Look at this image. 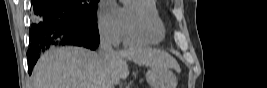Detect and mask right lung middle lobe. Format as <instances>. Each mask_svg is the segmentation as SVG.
I'll return each instance as SVG.
<instances>
[{"label":"right lung middle lobe","mask_w":267,"mask_h":88,"mask_svg":"<svg viewBox=\"0 0 267 88\" xmlns=\"http://www.w3.org/2000/svg\"><path fill=\"white\" fill-rule=\"evenodd\" d=\"M82 18L97 22V3L99 0H57Z\"/></svg>","instance_id":"right-lung-middle-lobe-1"}]
</instances>
